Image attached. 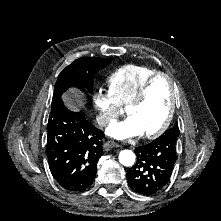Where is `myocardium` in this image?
Masks as SVG:
<instances>
[{"mask_svg":"<svg viewBox=\"0 0 221 221\" xmlns=\"http://www.w3.org/2000/svg\"><path fill=\"white\" fill-rule=\"evenodd\" d=\"M160 78H165L168 81L170 92H171L170 105H169L167 115H166L164 121L162 122V124L157 129L143 134V136L148 139H154V138L160 136L162 133H164L165 130L170 125L171 120L173 118L175 108H176L177 95H176V91L174 88V83H173L172 77L169 74L163 73V72H157V73L149 76L142 83V85L137 90L136 94L132 97V99L126 105V108L127 107H137V106L141 105L143 103V101L145 100L148 90L151 87V85L153 84V82L156 81L157 79H160ZM125 113L127 114L126 109H125Z\"/></svg>","mask_w":221,"mask_h":221,"instance_id":"1","label":"myocardium"}]
</instances>
